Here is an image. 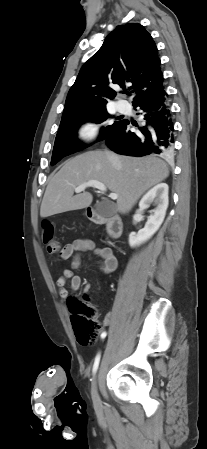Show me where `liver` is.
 Segmentation results:
<instances>
[{"instance_id": "1", "label": "liver", "mask_w": 207, "mask_h": 449, "mask_svg": "<svg viewBox=\"0 0 207 449\" xmlns=\"http://www.w3.org/2000/svg\"><path fill=\"white\" fill-rule=\"evenodd\" d=\"M117 157L119 162L113 164L106 152L88 151L66 161L46 188L40 216L88 207L93 200L89 192L73 194L76 187L90 180L102 182L117 194L118 212L126 214L148 189L169 175L167 164L156 157Z\"/></svg>"}]
</instances>
